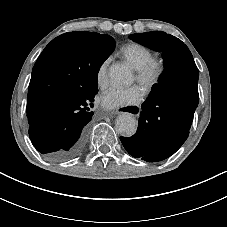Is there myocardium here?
<instances>
[{
  "label": "myocardium",
  "instance_id": "obj_1",
  "mask_svg": "<svg viewBox=\"0 0 227 227\" xmlns=\"http://www.w3.org/2000/svg\"><path fill=\"white\" fill-rule=\"evenodd\" d=\"M166 73V64L162 58H151L137 70V81L148 89H153L162 81Z\"/></svg>",
  "mask_w": 227,
  "mask_h": 227
}]
</instances>
